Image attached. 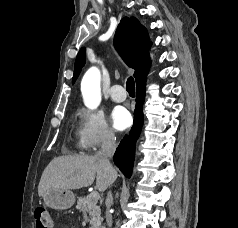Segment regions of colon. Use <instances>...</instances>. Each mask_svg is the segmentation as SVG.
<instances>
[{
  "mask_svg": "<svg viewBox=\"0 0 238 228\" xmlns=\"http://www.w3.org/2000/svg\"><path fill=\"white\" fill-rule=\"evenodd\" d=\"M36 228H53V220L50 212L45 207H37L34 211Z\"/></svg>",
  "mask_w": 238,
  "mask_h": 228,
  "instance_id": "1",
  "label": "colon"
}]
</instances>
